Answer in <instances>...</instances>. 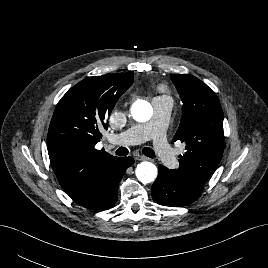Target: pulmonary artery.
<instances>
[{
	"label": "pulmonary artery",
	"mask_w": 268,
	"mask_h": 268,
	"mask_svg": "<svg viewBox=\"0 0 268 268\" xmlns=\"http://www.w3.org/2000/svg\"><path fill=\"white\" fill-rule=\"evenodd\" d=\"M152 107V121L133 126L124 135H113L111 142L133 145L152 139L155 155L159 156L166 166L174 167L177 164V158L164 135L171 109L170 103L164 97H156L152 100Z\"/></svg>",
	"instance_id": "pulmonary-artery-1"
}]
</instances>
